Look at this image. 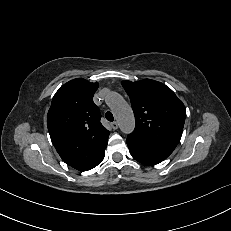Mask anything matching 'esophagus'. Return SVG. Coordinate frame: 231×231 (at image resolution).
I'll return each mask as SVG.
<instances>
[{
    "label": "esophagus",
    "instance_id": "obj_1",
    "mask_svg": "<svg viewBox=\"0 0 231 231\" xmlns=\"http://www.w3.org/2000/svg\"><path fill=\"white\" fill-rule=\"evenodd\" d=\"M111 127H112V129L116 130L118 128V123L117 122H112Z\"/></svg>",
    "mask_w": 231,
    "mask_h": 231
}]
</instances>
